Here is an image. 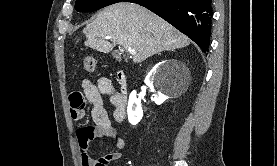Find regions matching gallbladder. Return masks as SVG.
I'll list each match as a JSON object with an SVG mask.
<instances>
[{
  "label": "gallbladder",
  "instance_id": "gallbladder-1",
  "mask_svg": "<svg viewBox=\"0 0 277 166\" xmlns=\"http://www.w3.org/2000/svg\"><path fill=\"white\" fill-rule=\"evenodd\" d=\"M113 57L116 58V59H119L120 58V53L119 52H114L113 54Z\"/></svg>",
  "mask_w": 277,
  "mask_h": 166
}]
</instances>
